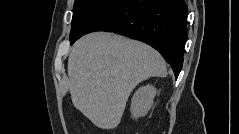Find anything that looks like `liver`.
I'll return each mask as SVG.
<instances>
[{
  "label": "liver",
  "instance_id": "6515ba94",
  "mask_svg": "<svg viewBox=\"0 0 239 134\" xmlns=\"http://www.w3.org/2000/svg\"><path fill=\"white\" fill-rule=\"evenodd\" d=\"M73 105L95 126L114 129L133 89L150 77H166L162 56L139 41L96 32L82 37L68 58Z\"/></svg>",
  "mask_w": 239,
  "mask_h": 134
}]
</instances>
